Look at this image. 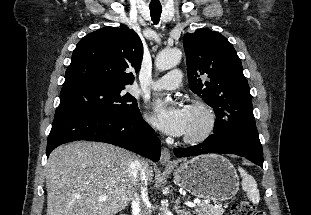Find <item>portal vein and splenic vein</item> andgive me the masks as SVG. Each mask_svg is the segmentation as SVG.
<instances>
[{
    "instance_id": "obj_1",
    "label": "portal vein and splenic vein",
    "mask_w": 311,
    "mask_h": 215,
    "mask_svg": "<svg viewBox=\"0 0 311 215\" xmlns=\"http://www.w3.org/2000/svg\"><path fill=\"white\" fill-rule=\"evenodd\" d=\"M106 199H107V196L103 195V196H100L99 201H105ZM185 205H187L188 207H196L197 206L196 202H191V201H186Z\"/></svg>"
}]
</instances>
